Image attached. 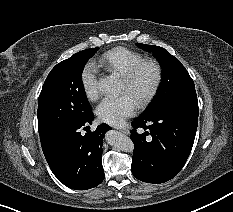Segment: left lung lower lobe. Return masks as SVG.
I'll return each mask as SVG.
<instances>
[{"instance_id": "obj_1", "label": "left lung lower lobe", "mask_w": 233, "mask_h": 212, "mask_svg": "<svg viewBox=\"0 0 233 212\" xmlns=\"http://www.w3.org/2000/svg\"><path fill=\"white\" fill-rule=\"evenodd\" d=\"M197 124L198 106L169 104L144 112L132 122V174L155 184L176 176L191 152ZM139 127L145 132L137 133Z\"/></svg>"}]
</instances>
